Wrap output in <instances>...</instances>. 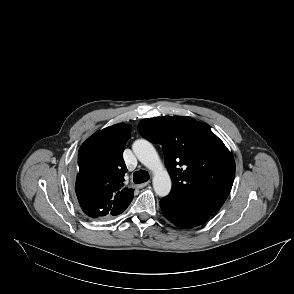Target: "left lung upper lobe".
I'll use <instances>...</instances> for the list:
<instances>
[{
	"label": "left lung upper lobe",
	"mask_w": 294,
	"mask_h": 294,
	"mask_svg": "<svg viewBox=\"0 0 294 294\" xmlns=\"http://www.w3.org/2000/svg\"><path fill=\"white\" fill-rule=\"evenodd\" d=\"M138 130L163 146L172 180L168 197L208 213L221 208L233 185L235 162L210 127L187 116H174L143 119Z\"/></svg>",
	"instance_id": "obj_1"
}]
</instances>
